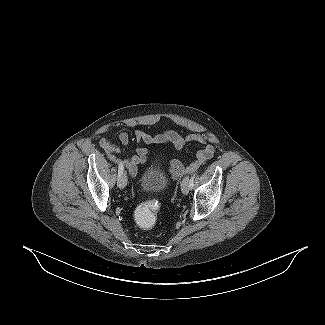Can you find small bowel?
I'll use <instances>...</instances> for the list:
<instances>
[{"label": "small bowel", "mask_w": 325, "mask_h": 325, "mask_svg": "<svg viewBox=\"0 0 325 325\" xmlns=\"http://www.w3.org/2000/svg\"><path fill=\"white\" fill-rule=\"evenodd\" d=\"M135 139L139 144H149L154 142L169 143L178 149H182L185 144L190 142L203 144V149L198 151L195 160L191 164L184 166L178 160H172L169 162V168L177 176H182L187 172L194 171L202 163L210 159L214 153V149L212 145L209 144L207 137L202 134H191L186 137H181L174 131H166L160 134H149L142 130H137L135 132ZM119 140L122 145H128L130 136L126 131H122L119 134ZM100 146L112 161L124 164L133 178L137 176V167L146 164L150 157L149 151L146 148L139 146L136 150V154L121 161L116 158V154L120 151L117 144L107 138H102L100 140Z\"/></svg>", "instance_id": "1"}]
</instances>
